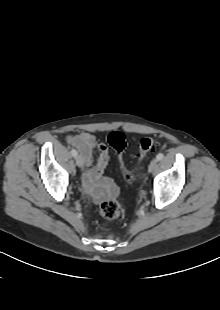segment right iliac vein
<instances>
[{"mask_svg": "<svg viewBox=\"0 0 220 310\" xmlns=\"http://www.w3.org/2000/svg\"><path fill=\"white\" fill-rule=\"evenodd\" d=\"M75 161H76V165H77L78 167H83V165H84V160H83V157H82L81 155H77V156L75 157Z\"/></svg>", "mask_w": 220, "mask_h": 310, "instance_id": "1", "label": "right iliac vein"}]
</instances>
